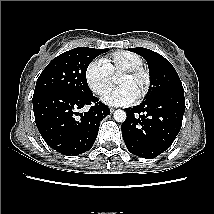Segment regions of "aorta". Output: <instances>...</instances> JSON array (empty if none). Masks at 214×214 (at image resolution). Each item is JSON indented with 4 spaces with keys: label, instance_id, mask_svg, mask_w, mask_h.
I'll list each match as a JSON object with an SVG mask.
<instances>
[{
    "label": "aorta",
    "instance_id": "obj_1",
    "mask_svg": "<svg viewBox=\"0 0 214 214\" xmlns=\"http://www.w3.org/2000/svg\"><path fill=\"white\" fill-rule=\"evenodd\" d=\"M115 121L124 122L127 118V114L125 111L118 109L113 114Z\"/></svg>",
    "mask_w": 214,
    "mask_h": 214
}]
</instances>
